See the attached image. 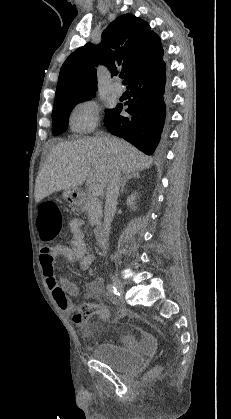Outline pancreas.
<instances>
[{
	"mask_svg": "<svg viewBox=\"0 0 231 419\" xmlns=\"http://www.w3.org/2000/svg\"><path fill=\"white\" fill-rule=\"evenodd\" d=\"M85 209L88 212L89 223L91 226L97 225L100 223L102 218V202L101 200L94 195H89L86 198L84 203Z\"/></svg>",
	"mask_w": 231,
	"mask_h": 419,
	"instance_id": "obj_1",
	"label": "pancreas"
}]
</instances>
